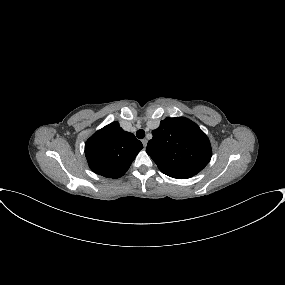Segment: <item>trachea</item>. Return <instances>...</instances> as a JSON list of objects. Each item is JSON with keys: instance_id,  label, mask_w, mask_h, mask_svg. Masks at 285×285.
<instances>
[{"instance_id": "3493384b", "label": "trachea", "mask_w": 285, "mask_h": 285, "mask_svg": "<svg viewBox=\"0 0 285 285\" xmlns=\"http://www.w3.org/2000/svg\"><path fill=\"white\" fill-rule=\"evenodd\" d=\"M136 136L137 138L139 139H143L145 137V131L143 129H139L137 132H136Z\"/></svg>"}]
</instances>
